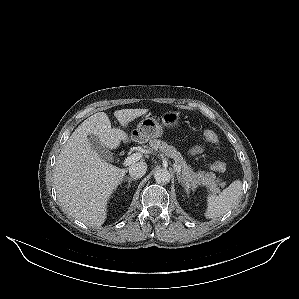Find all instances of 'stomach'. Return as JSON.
<instances>
[{
  "label": "stomach",
  "mask_w": 299,
  "mask_h": 299,
  "mask_svg": "<svg viewBox=\"0 0 299 299\" xmlns=\"http://www.w3.org/2000/svg\"><path fill=\"white\" fill-rule=\"evenodd\" d=\"M162 123L160 124L157 119L146 116L143 118L136 129L130 133V138L139 143L147 142L150 139L161 137L163 128L175 127L180 123V113L176 111L165 112L161 116Z\"/></svg>",
  "instance_id": "1"
}]
</instances>
